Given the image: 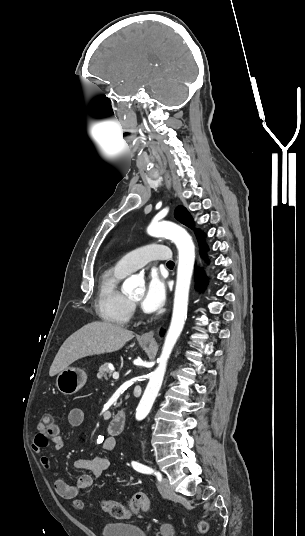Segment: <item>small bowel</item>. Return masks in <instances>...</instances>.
I'll list each match as a JSON object with an SVG mask.
<instances>
[{
    "label": "small bowel",
    "mask_w": 305,
    "mask_h": 536,
    "mask_svg": "<svg viewBox=\"0 0 305 536\" xmlns=\"http://www.w3.org/2000/svg\"><path fill=\"white\" fill-rule=\"evenodd\" d=\"M85 420V412L82 408H72L68 413V422L73 427H78ZM101 448L105 452L113 451L116 447V440L112 437L103 436L99 440ZM51 446L55 450H60L64 446V439L61 436L60 427H37L36 433L32 439V450L36 453L41 452L44 448ZM40 464L43 469L50 470L52 462L49 457L42 456ZM75 470L88 471L90 474L79 476L75 485H69L62 479H57L54 483V489L58 496L67 500L68 495H75L92 486L93 477H100L110 468V461L105 456H95L93 458H77L72 462Z\"/></svg>",
    "instance_id": "small-bowel-1"
}]
</instances>
